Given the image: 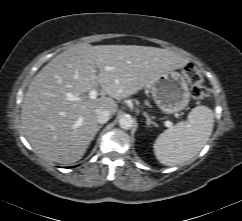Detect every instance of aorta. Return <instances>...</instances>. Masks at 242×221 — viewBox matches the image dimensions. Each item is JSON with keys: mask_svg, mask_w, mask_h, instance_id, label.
I'll use <instances>...</instances> for the list:
<instances>
[{"mask_svg": "<svg viewBox=\"0 0 242 221\" xmlns=\"http://www.w3.org/2000/svg\"><path fill=\"white\" fill-rule=\"evenodd\" d=\"M134 123L133 118L130 115H124L119 119V125L124 130H129L132 128Z\"/></svg>", "mask_w": 242, "mask_h": 221, "instance_id": "1", "label": "aorta"}]
</instances>
